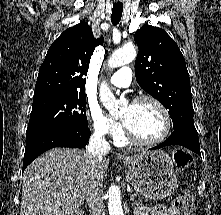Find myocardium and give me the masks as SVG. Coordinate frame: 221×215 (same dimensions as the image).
I'll use <instances>...</instances> for the list:
<instances>
[{"label":"myocardium","instance_id":"myocardium-1","mask_svg":"<svg viewBox=\"0 0 221 215\" xmlns=\"http://www.w3.org/2000/svg\"><path fill=\"white\" fill-rule=\"evenodd\" d=\"M143 101L152 102L160 110V112L163 116V120H164V127H163L162 133L156 139L144 140V139H141V138L137 137L136 135H134L130 131V129L127 127V125L123 122L122 127H123L124 137L128 141H130L134 144H137V145L149 146V147L155 146V145H158V144L162 143L163 141H165L167 139V137L169 136L171 128H172V119H171L170 113H169L168 109L166 108V106L159 99L155 98L154 96L140 95L134 99L133 104L140 103Z\"/></svg>","mask_w":221,"mask_h":215}]
</instances>
